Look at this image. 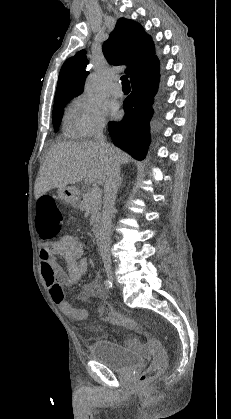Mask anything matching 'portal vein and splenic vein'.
<instances>
[{"instance_id":"obj_1","label":"portal vein and splenic vein","mask_w":231,"mask_h":419,"mask_svg":"<svg viewBox=\"0 0 231 419\" xmlns=\"http://www.w3.org/2000/svg\"><path fill=\"white\" fill-rule=\"evenodd\" d=\"M101 190L99 188H94L91 192H90V197L93 199H98L101 198Z\"/></svg>"}]
</instances>
